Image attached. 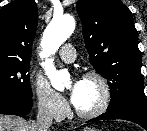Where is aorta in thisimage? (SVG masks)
<instances>
[{
  "label": "aorta",
  "instance_id": "762f6f07",
  "mask_svg": "<svg viewBox=\"0 0 147 131\" xmlns=\"http://www.w3.org/2000/svg\"><path fill=\"white\" fill-rule=\"evenodd\" d=\"M75 28V20L70 15H63L53 18L44 31L41 41V58H45L42 63L45 73L56 90L62 91L70 80L67 70H57L52 59L48 57L54 54L59 47L70 37Z\"/></svg>",
  "mask_w": 147,
  "mask_h": 131
}]
</instances>
